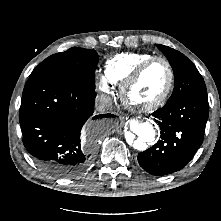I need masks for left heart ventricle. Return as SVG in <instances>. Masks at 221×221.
Here are the masks:
<instances>
[{
  "instance_id": "b2bd125f",
  "label": "left heart ventricle",
  "mask_w": 221,
  "mask_h": 221,
  "mask_svg": "<svg viewBox=\"0 0 221 221\" xmlns=\"http://www.w3.org/2000/svg\"><path fill=\"white\" fill-rule=\"evenodd\" d=\"M168 70L162 62L152 64L133 86L130 98L137 104H147L158 98L168 83Z\"/></svg>"
}]
</instances>
